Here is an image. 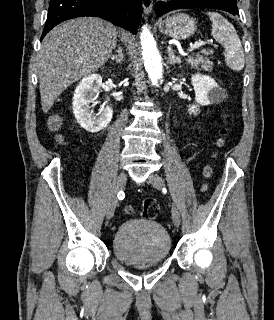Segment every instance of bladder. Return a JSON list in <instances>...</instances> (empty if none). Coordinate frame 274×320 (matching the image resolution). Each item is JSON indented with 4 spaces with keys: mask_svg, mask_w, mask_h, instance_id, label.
Masks as SVG:
<instances>
[{
    "mask_svg": "<svg viewBox=\"0 0 274 320\" xmlns=\"http://www.w3.org/2000/svg\"><path fill=\"white\" fill-rule=\"evenodd\" d=\"M112 250L118 261L129 266L158 264L171 251V239L156 221L135 218L119 225L112 239Z\"/></svg>",
    "mask_w": 274,
    "mask_h": 320,
    "instance_id": "31cf9c89",
    "label": "bladder"
}]
</instances>
